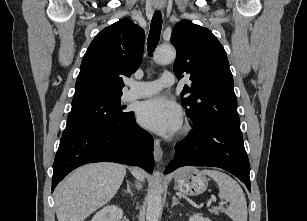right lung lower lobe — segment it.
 Instances as JSON below:
<instances>
[{"label":"right lung lower lobe","mask_w":307,"mask_h":221,"mask_svg":"<svg viewBox=\"0 0 307 221\" xmlns=\"http://www.w3.org/2000/svg\"><path fill=\"white\" fill-rule=\"evenodd\" d=\"M153 138L140 128L133 112L108 122L62 136L53 164L52 190L73 169L91 162L137 165L152 173Z\"/></svg>","instance_id":"right-lung-lower-lobe-1"}]
</instances>
